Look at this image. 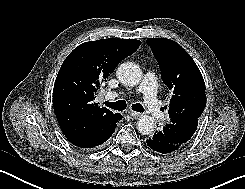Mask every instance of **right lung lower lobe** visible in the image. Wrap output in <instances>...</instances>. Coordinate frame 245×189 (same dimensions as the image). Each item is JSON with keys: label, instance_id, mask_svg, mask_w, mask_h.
<instances>
[{"label": "right lung lower lobe", "instance_id": "1", "mask_svg": "<svg viewBox=\"0 0 245 189\" xmlns=\"http://www.w3.org/2000/svg\"><path fill=\"white\" fill-rule=\"evenodd\" d=\"M96 124H97V127L98 128H97V134L95 136V140L92 143H90V144H86V145L78 146V147H81V148H94V147H98V146L102 145L104 142H106L111 137V135L114 133V131H115L114 130L111 133L105 134L108 131L106 129L107 126L105 124H103V121L98 120L96 122Z\"/></svg>", "mask_w": 245, "mask_h": 189}]
</instances>
